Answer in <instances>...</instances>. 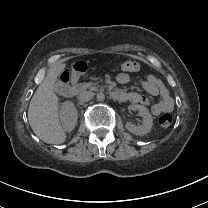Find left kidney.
<instances>
[{"mask_svg": "<svg viewBox=\"0 0 208 208\" xmlns=\"http://www.w3.org/2000/svg\"><path fill=\"white\" fill-rule=\"evenodd\" d=\"M128 110L138 111L143 117V124L141 126H136L128 122L126 123L125 128L136 135H145L149 133L153 126V118L149 113V110L145 106L138 104L129 105Z\"/></svg>", "mask_w": 208, "mask_h": 208, "instance_id": "left-kidney-1", "label": "left kidney"}]
</instances>
